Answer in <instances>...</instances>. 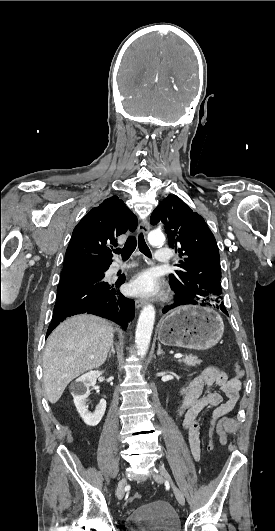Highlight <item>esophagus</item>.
Segmentation results:
<instances>
[{
	"label": "esophagus",
	"mask_w": 275,
	"mask_h": 531,
	"mask_svg": "<svg viewBox=\"0 0 275 531\" xmlns=\"http://www.w3.org/2000/svg\"><path fill=\"white\" fill-rule=\"evenodd\" d=\"M149 230H150V225L147 220H143L138 226V233L147 234ZM145 304H146V300L143 298L135 300V305H136V308L138 309L143 307Z\"/></svg>",
	"instance_id": "34e87169"
}]
</instances>
